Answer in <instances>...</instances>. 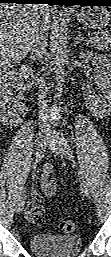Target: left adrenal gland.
Masks as SVG:
<instances>
[{
    "label": "left adrenal gland",
    "mask_w": 111,
    "mask_h": 257,
    "mask_svg": "<svg viewBox=\"0 0 111 257\" xmlns=\"http://www.w3.org/2000/svg\"><path fill=\"white\" fill-rule=\"evenodd\" d=\"M81 41H86L79 29L77 36L75 37V42H74V46H76L77 44H79Z\"/></svg>",
    "instance_id": "a2214340"
}]
</instances>
